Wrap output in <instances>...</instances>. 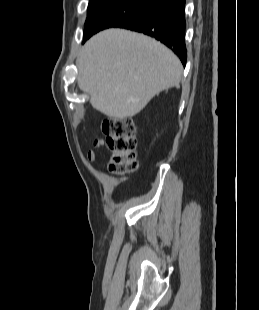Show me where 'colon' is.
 <instances>
[{
    "label": "colon",
    "instance_id": "5ec220e1",
    "mask_svg": "<svg viewBox=\"0 0 259 310\" xmlns=\"http://www.w3.org/2000/svg\"><path fill=\"white\" fill-rule=\"evenodd\" d=\"M102 132L111 152L110 170L115 174L134 172L138 167L134 122L129 118L106 119L102 123Z\"/></svg>",
    "mask_w": 259,
    "mask_h": 310
}]
</instances>
